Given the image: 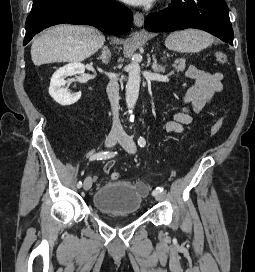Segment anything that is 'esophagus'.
Instances as JSON below:
<instances>
[{
	"label": "esophagus",
	"mask_w": 255,
	"mask_h": 272,
	"mask_svg": "<svg viewBox=\"0 0 255 272\" xmlns=\"http://www.w3.org/2000/svg\"><path fill=\"white\" fill-rule=\"evenodd\" d=\"M143 22H144V16H143V14L139 13V12H136L134 14V24H135V26L142 27Z\"/></svg>",
	"instance_id": "1"
}]
</instances>
